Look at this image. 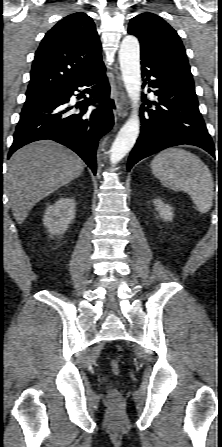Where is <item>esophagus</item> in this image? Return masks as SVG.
Wrapping results in <instances>:
<instances>
[{"mask_svg":"<svg viewBox=\"0 0 222 447\" xmlns=\"http://www.w3.org/2000/svg\"><path fill=\"white\" fill-rule=\"evenodd\" d=\"M115 119L126 115V105L123 92L118 88H112L109 100Z\"/></svg>","mask_w":222,"mask_h":447,"instance_id":"esophagus-1","label":"esophagus"}]
</instances>
